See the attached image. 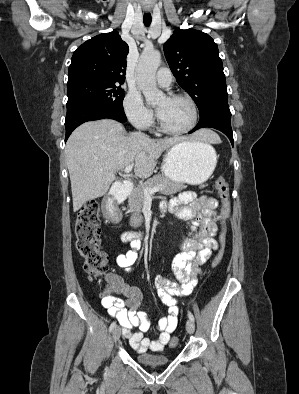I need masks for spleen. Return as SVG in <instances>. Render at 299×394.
<instances>
[{"label": "spleen", "instance_id": "1", "mask_svg": "<svg viewBox=\"0 0 299 394\" xmlns=\"http://www.w3.org/2000/svg\"><path fill=\"white\" fill-rule=\"evenodd\" d=\"M208 146H209V148L211 149V151L213 152L214 150H213V147L211 146V145H209L208 144Z\"/></svg>", "mask_w": 299, "mask_h": 394}]
</instances>
